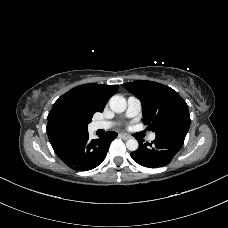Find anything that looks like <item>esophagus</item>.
Listing matches in <instances>:
<instances>
[{
    "label": "esophagus",
    "instance_id": "obj_1",
    "mask_svg": "<svg viewBox=\"0 0 228 228\" xmlns=\"http://www.w3.org/2000/svg\"><path fill=\"white\" fill-rule=\"evenodd\" d=\"M120 137H121L122 139H124V140H128V139L131 138V136L128 135V134H126V133H121V134H120Z\"/></svg>",
    "mask_w": 228,
    "mask_h": 228
}]
</instances>
